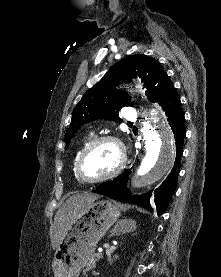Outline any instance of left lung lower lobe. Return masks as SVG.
I'll return each mask as SVG.
<instances>
[{
    "label": "left lung lower lobe",
    "mask_w": 221,
    "mask_h": 277,
    "mask_svg": "<svg viewBox=\"0 0 221 277\" xmlns=\"http://www.w3.org/2000/svg\"><path fill=\"white\" fill-rule=\"evenodd\" d=\"M168 117L169 124L174 132L176 143V160L171 172L164 182L154 190V202L158 215L165 212L167 205L176 190L177 178L180 168V160L183 154V141L186 135L184 128V115L181 109L179 96L173 87L160 103ZM130 175V169L111 181L99 185L93 192L109 196L115 200L139 204L149 211H153L150 205L152 190L141 196L132 195L127 189V181Z\"/></svg>",
    "instance_id": "obj_1"
}]
</instances>
